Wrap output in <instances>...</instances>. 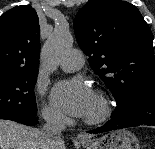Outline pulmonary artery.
<instances>
[{"label": "pulmonary artery", "mask_w": 155, "mask_h": 149, "mask_svg": "<svg viewBox=\"0 0 155 149\" xmlns=\"http://www.w3.org/2000/svg\"><path fill=\"white\" fill-rule=\"evenodd\" d=\"M84 63L83 54L80 50L68 51L59 62V66L66 72H73L82 67Z\"/></svg>", "instance_id": "pulmonary-artery-1"}]
</instances>
